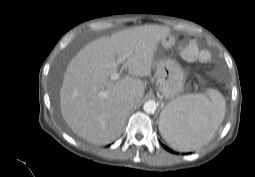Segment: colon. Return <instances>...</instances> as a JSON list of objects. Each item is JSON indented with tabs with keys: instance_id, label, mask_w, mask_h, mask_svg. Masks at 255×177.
<instances>
[{
	"instance_id": "obj_1",
	"label": "colon",
	"mask_w": 255,
	"mask_h": 177,
	"mask_svg": "<svg viewBox=\"0 0 255 177\" xmlns=\"http://www.w3.org/2000/svg\"><path fill=\"white\" fill-rule=\"evenodd\" d=\"M168 44H173V40H169ZM181 55L188 61L207 63L211 60V53L208 50H200L194 37H191L189 42L181 48Z\"/></svg>"
}]
</instances>
